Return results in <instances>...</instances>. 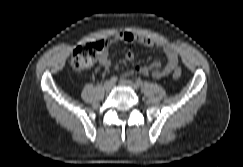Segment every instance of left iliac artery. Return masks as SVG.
Here are the masks:
<instances>
[{
	"label": "left iliac artery",
	"mask_w": 243,
	"mask_h": 167,
	"mask_svg": "<svg viewBox=\"0 0 243 167\" xmlns=\"http://www.w3.org/2000/svg\"><path fill=\"white\" fill-rule=\"evenodd\" d=\"M136 85L142 87L143 86L142 80L141 79H137L136 80Z\"/></svg>",
	"instance_id": "1"
}]
</instances>
